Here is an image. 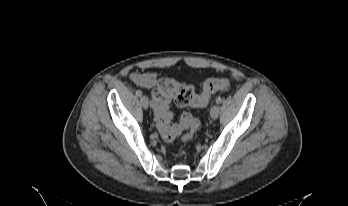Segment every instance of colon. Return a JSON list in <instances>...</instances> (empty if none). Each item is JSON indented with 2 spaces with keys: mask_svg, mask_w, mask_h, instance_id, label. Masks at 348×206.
Wrapping results in <instances>:
<instances>
[{
  "mask_svg": "<svg viewBox=\"0 0 348 206\" xmlns=\"http://www.w3.org/2000/svg\"><path fill=\"white\" fill-rule=\"evenodd\" d=\"M230 80L227 77L211 78L204 83L203 91L198 95L190 85L180 84L171 79H162L152 92V108L154 119L162 138L167 142L174 141L184 130V140H190L199 128V121L189 112L181 115L178 124L172 123L169 104L172 99L180 107H204L210 96L218 91L227 90Z\"/></svg>",
  "mask_w": 348,
  "mask_h": 206,
  "instance_id": "1",
  "label": "colon"
}]
</instances>
